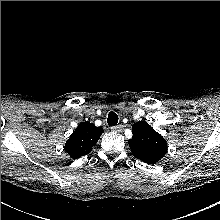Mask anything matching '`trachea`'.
<instances>
[{
	"mask_svg": "<svg viewBox=\"0 0 220 220\" xmlns=\"http://www.w3.org/2000/svg\"><path fill=\"white\" fill-rule=\"evenodd\" d=\"M107 123L110 126L116 125L118 123V115L113 111L109 112Z\"/></svg>",
	"mask_w": 220,
	"mask_h": 220,
	"instance_id": "1",
	"label": "trachea"
}]
</instances>
